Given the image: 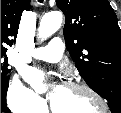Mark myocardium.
Returning a JSON list of instances; mask_svg holds the SVG:
<instances>
[{
  "label": "myocardium",
  "instance_id": "f54148a6",
  "mask_svg": "<svg viewBox=\"0 0 121 113\" xmlns=\"http://www.w3.org/2000/svg\"><path fill=\"white\" fill-rule=\"evenodd\" d=\"M63 86L66 87V88L76 90V91H82V92L88 93L92 98H94L96 101H98L99 104L101 105L102 110L99 113H107L108 103L98 92H96L90 86H88L84 83L72 82V81L64 83ZM50 109L53 113H59V112L56 111L52 102H50Z\"/></svg>",
  "mask_w": 121,
  "mask_h": 113
}]
</instances>
